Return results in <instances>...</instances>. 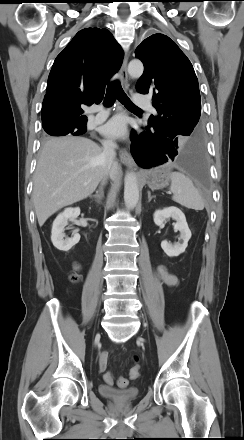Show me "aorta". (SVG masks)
<instances>
[{"instance_id": "obj_1", "label": "aorta", "mask_w": 244, "mask_h": 440, "mask_svg": "<svg viewBox=\"0 0 244 440\" xmlns=\"http://www.w3.org/2000/svg\"><path fill=\"white\" fill-rule=\"evenodd\" d=\"M144 66L140 60H132L128 65V73L133 78L143 74ZM139 200V187L134 172H127L124 180V201L128 208H134Z\"/></svg>"}]
</instances>
